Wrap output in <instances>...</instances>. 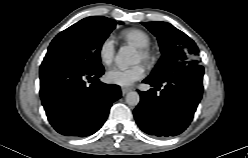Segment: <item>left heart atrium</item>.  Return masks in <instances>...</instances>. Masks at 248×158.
<instances>
[{"label": "left heart atrium", "mask_w": 248, "mask_h": 158, "mask_svg": "<svg viewBox=\"0 0 248 158\" xmlns=\"http://www.w3.org/2000/svg\"><path fill=\"white\" fill-rule=\"evenodd\" d=\"M144 74V66L138 63L126 68L113 67L106 72L105 78L110 84L126 87L142 79Z\"/></svg>", "instance_id": "left-heart-atrium-1"}]
</instances>
